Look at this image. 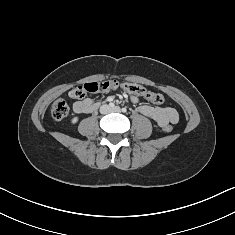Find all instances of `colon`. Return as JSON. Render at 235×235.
<instances>
[{
    "label": "colon",
    "mask_w": 235,
    "mask_h": 235,
    "mask_svg": "<svg viewBox=\"0 0 235 235\" xmlns=\"http://www.w3.org/2000/svg\"><path fill=\"white\" fill-rule=\"evenodd\" d=\"M121 89L124 92L134 94L137 96L144 97L153 104H163L165 98L162 94L148 90L142 85L130 82L120 83L117 80H100V81H91L83 85H79L73 88L69 95L73 99H82L88 94L106 92L109 90ZM69 113V107L67 102L60 98L57 99L51 107V115L55 120H62L67 117ZM172 127L167 125L164 127L165 133H170Z\"/></svg>",
    "instance_id": "obj_1"
}]
</instances>
